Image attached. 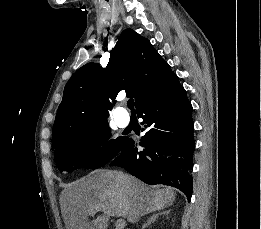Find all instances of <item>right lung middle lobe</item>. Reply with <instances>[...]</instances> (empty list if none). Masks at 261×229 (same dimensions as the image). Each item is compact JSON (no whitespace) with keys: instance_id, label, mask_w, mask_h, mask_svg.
I'll return each instance as SVG.
<instances>
[{"instance_id":"obj_1","label":"right lung middle lobe","mask_w":261,"mask_h":229,"mask_svg":"<svg viewBox=\"0 0 261 229\" xmlns=\"http://www.w3.org/2000/svg\"><path fill=\"white\" fill-rule=\"evenodd\" d=\"M65 132V140L55 149V160L61 172L100 168L113 159L127 141V137L109 140L108 122L69 127Z\"/></svg>"}]
</instances>
